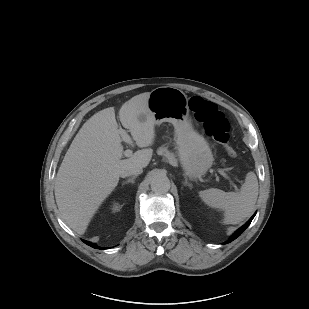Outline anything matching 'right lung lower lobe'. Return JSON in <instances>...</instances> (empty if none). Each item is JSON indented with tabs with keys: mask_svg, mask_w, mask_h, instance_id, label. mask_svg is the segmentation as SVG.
<instances>
[{
	"mask_svg": "<svg viewBox=\"0 0 309 309\" xmlns=\"http://www.w3.org/2000/svg\"><path fill=\"white\" fill-rule=\"evenodd\" d=\"M83 242H84L85 244H87V245L93 247V248H96V249H104V248L98 247L97 245H95V244H93V243H91V242H88V241H85V240H83Z\"/></svg>",
	"mask_w": 309,
	"mask_h": 309,
	"instance_id": "right-lung-lower-lobe-1",
	"label": "right lung lower lobe"
}]
</instances>
